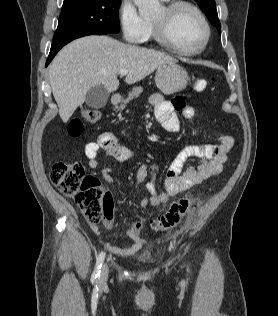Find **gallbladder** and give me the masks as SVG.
I'll return each mask as SVG.
<instances>
[{
    "instance_id": "gallbladder-1",
    "label": "gallbladder",
    "mask_w": 278,
    "mask_h": 316,
    "mask_svg": "<svg viewBox=\"0 0 278 316\" xmlns=\"http://www.w3.org/2000/svg\"><path fill=\"white\" fill-rule=\"evenodd\" d=\"M108 97L109 92L107 89L103 85H97L88 90L85 103L93 109H100L106 105Z\"/></svg>"
}]
</instances>
